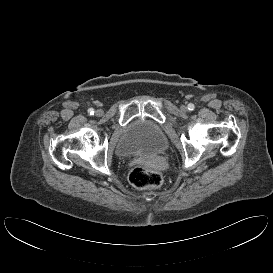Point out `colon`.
<instances>
[{
  "instance_id": "obj_1",
  "label": "colon",
  "mask_w": 273,
  "mask_h": 273,
  "mask_svg": "<svg viewBox=\"0 0 273 273\" xmlns=\"http://www.w3.org/2000/svg\"><path fill=\"white\" fill-rule=\"evenodd\" d=\"M129 182L136 188L154 189L163 183V176L143 164L134 165L128 174Z\"/></svg>"
}]
</instances>
